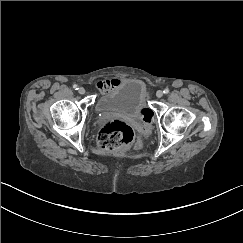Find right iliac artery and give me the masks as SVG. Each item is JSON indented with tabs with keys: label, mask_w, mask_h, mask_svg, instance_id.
Wrapping results in <instances>:
<instances>
[{
	"label": "right iliac artery",
	"mask_w": 243,
	"mask_h": 243,
	"mask_svg": "<svg viewBox=\"0 0 243 243\" xmlns=\"http://www.w3.org/2000/svg\"><path fill=\"white\" fill-rule=\"evenodd\" d=\"M73 88H74L75 90H78V89H79L77 84H74V85H73Z\"/></svg>",
	"instance_id": "obj_1"
}]
</instances>
